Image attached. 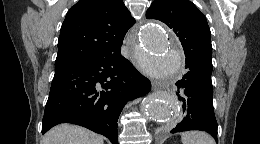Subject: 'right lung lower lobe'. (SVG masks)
<instances>
[{
    "instance_id": "98d812e1",
    "label": "right lung lower lobe",
    "mask_w": 260,
    "mask_h": 144,
    "mask_svg": "<svg viewBox=\"0 0 260 144\" xmlns=\"http://www.w3.org/2000/svg\"><path fill=\"white\" fill-rule=\"evenodd\" d=\"M150 89V81L120 51L56 69L42 134L56 124L69 122L118 144L117 120L124 105Z\"/></svg>"
}]
</instances>
